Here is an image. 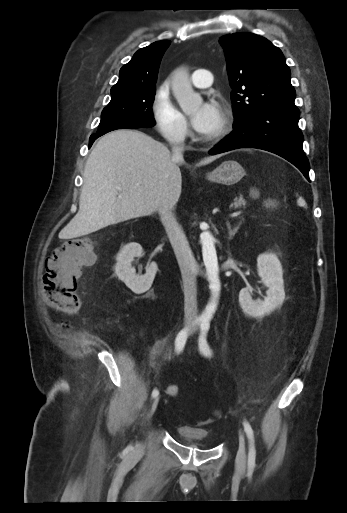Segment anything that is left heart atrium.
<instances>
[{"instance_id":"obj_1","label":"left heart atrium","mask_w":347,"mask_h":513,"mask_svg":"<svg viewBox=\"0 0 347 513\" xmlns=\"http://www.w3.org/2000/svg\"><path fill=\"white\" fill-rule=\"evenodd\" d=\"M222 120V112L215 102H204L192 117V126L200 134L213 130Z\"/></svg>"}]
</instances>
